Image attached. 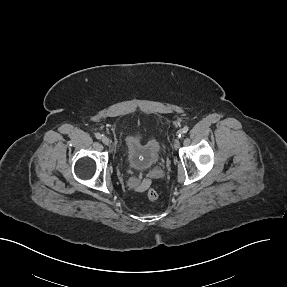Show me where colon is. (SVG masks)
I'll use <instances>...</instances> for the list:
<instances>
[{"mask_svg":"<svg viewBox=\"0 0 287 287\" xmlns=\"http://www.w3.org/2000/svg\"><path fill=\"white\" fill-rule=\"evenodd\" d=\"M146 196L150 201H155L158 199L159 195L155 189L151 188L147 191Z\"/></svg>","mask_w":287,"mask_h":287,"instance_id":"5ec220e1","label":"colon"}]
</instances>
